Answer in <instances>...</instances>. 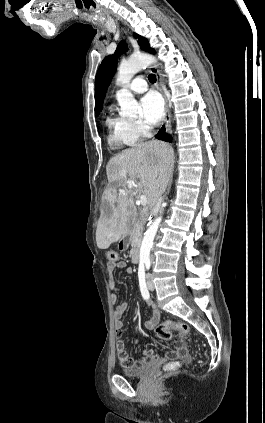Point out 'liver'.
Listing matches in <instances>:
<instances>
[{"instance_id":"6515ba94","label":"liver","mask_w":265,"mask_h":423,"mask_svg":"<svg viewBox=\"0 0 265 423\" xmlns=\"http://www.w3.org/2000/svg\"><path fill=\"white\" fill-rule=\"evenodd\" d=\"M173 156L167 143L154 140L125 149L109 160L106 172L110 186L103 196V203L110 208L111 214L98 220V248L107 249L126 232L125 211L134 206L135 193L145 195L150 208L156 205L171 175ZM129 181L136 186L126 189ZM113 184L115 186H111ZM116 187L125 189L118 191Z\"/></svg>"}]
</instances>
